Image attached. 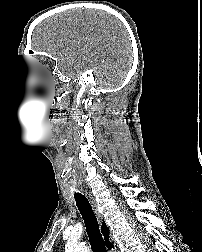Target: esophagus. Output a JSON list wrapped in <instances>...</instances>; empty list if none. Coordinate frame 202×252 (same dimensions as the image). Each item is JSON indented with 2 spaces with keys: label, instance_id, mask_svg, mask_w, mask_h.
Segmentation results:
<instances>
[{
  "label": "esophagus",
  "instance_id": "34e87169",
  "mask_svg": "<svg viewBox=\"0 0 202 252\" xmlns=\"http://www.w3.org/2000/svg\"><path fill=\"white\" fill-rule=\"evenodd\" d=\"M85 194L88 197V200H89V202H90V204L92 206V209H93V211H94L97 219L99 221H101L102 220V216H101L100 212L98 211V206H97V203H96L94 197L91 194H89L87 191H85Z\"/></svg>",
  "mask_w": 202,
  "mask_h": 252
}]
</instances>
